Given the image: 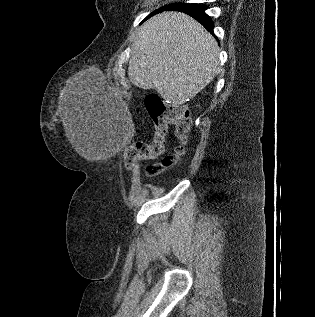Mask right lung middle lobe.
Instances as JSON below:
<instances>
[{"instance_id":"obj_1","label":"right lung middle lobe","mask_w":315,"mask_h":317,"mask_svg":"<svg viewBox=\"0 0 315 317\" xmlns=\"http://www.w3.org/2000/svg\"><path fill=\"white\" fill-rule=\"evenodd\" d=\"M170 6H171V5H170ZM167 7H169V6L163 7V8H161V9L158 10V11H162L163 9H165V8H167Z\"/></svg>"}]
</instances>
